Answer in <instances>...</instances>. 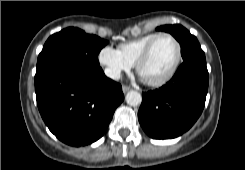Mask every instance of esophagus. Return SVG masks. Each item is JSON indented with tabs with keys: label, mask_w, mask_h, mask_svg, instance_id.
Masks as SVG:
<instances>
[{
	"label": "esophagus",
	"mask_w": 245,
	"mask_h": 170,
	"mask_svg": "<svg viewBox=\"0 0 245 170\" xmlns=\"http://www.w3.org/2000/svg\"><path fill=\"white\" fill-rule=\"evenodd\" d=\"M129 90H130V88H129L128 86H123V87H122L123 93H126V92H128Z\"/></svg>",
	"instance_id": "34e87169"
}]
</instances>
